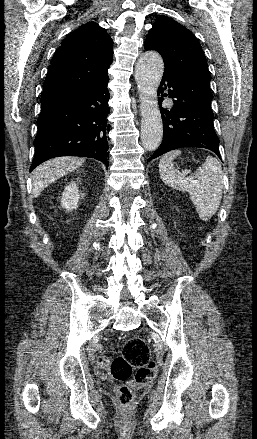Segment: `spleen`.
Masks as SVG:
<instances>
[{"label": "spleen", "mask_w": 257, "mask_h": 439, "mask_svg": "<svg viewBox=\"0 0 257 439\" xmlns=\"http://www.w3.org/2000/svg\"><path fill=\"white\" fill-rule=\"evenodd\" d=\"M180 154V150H175L162 156L159 162L160 177L167 186L188 192L200 219L209 221L222 199L224 186L221 164L216 158L208 156L193 176L186 177L174 169L173 160Z\"/></svg>", "instance_id": "obj_1"}]
</instances>
